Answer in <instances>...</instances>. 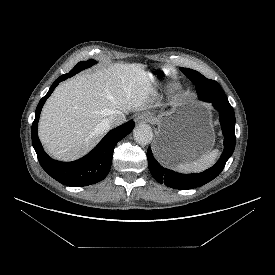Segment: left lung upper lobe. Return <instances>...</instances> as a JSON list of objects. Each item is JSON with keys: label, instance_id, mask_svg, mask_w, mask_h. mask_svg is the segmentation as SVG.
Wrapping results in <instances>:
<instances>
[{"label": "left lung upper lobe", "instance_id": "obj_1", "mask_svg": "<svg viewBox=\"0 0 275 275\" xmlns=\"http://www.w3.org/2000/svg\"><path fill=\"white\" fill-rule=\"evenodd\" d=\"M180 70L190 79V77H193L195 80H197V82H193V84L196 85V89H197V94L199 97H203L204 95L207 96H215L218 95L224 99H227L224 91L222 90V88L220 87V85L212 80L213 85H214V90L205 88V86H201L202 82H204V79H207L206 77H204L203 75H201L199 72L192 70V69H188V68H180ZM200 80V81H198ZM205 83V82H204Z\"/></svg>", "mask_w": 275, "mask_h": 275}]
</instances>
